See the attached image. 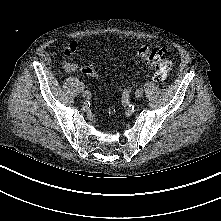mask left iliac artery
Masks as SVG:
<instances>
[{"label": "left iliac artery", "instance_id": "left-iliac-artery-1", "mask_svg": "<svg viewBox=\"0 0 221 221\" xmlns=\"http://www.w3.org/2000/svg\"><path fill=\"white\" fill-rule=\"evenodd\" d=\"M121 103L124 107H130V94L129 92L125 89L123 91V94H122V98H121Z\"/></svg>", "mask_w": 221, "mask_h": 221}]
</instances>
